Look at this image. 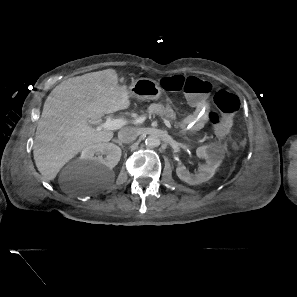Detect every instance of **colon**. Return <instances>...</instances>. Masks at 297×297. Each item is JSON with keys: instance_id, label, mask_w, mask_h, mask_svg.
I'll return each mask as SVG.
<instances>
[{"instance_id": "1", "label": "colon", "mask_w": 297, "mask_h": 297, "mask_svg": "<svg viewBox=\"0 0 297 297\" xmlns=\"http://www.w3.org/2000/svg\"><path fill=\"white\" fill-rule=\"evenodd\" d=\"M160 85L165 90L183 93L195 102L208 97L213 90L208 80L183 75L164 77ZM214 105L215 109L210 112L209 120L215 135L222 139L226 137L233 125L234 117L240 108V100L226 90H219L214 96Z\"/></svg>"}]
</instances>
